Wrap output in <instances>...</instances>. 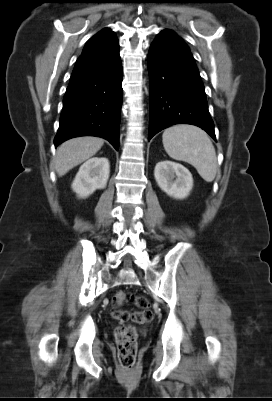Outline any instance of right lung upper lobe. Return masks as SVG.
I'll return each instance as SVG.
<instances>
[{"label": "right lung upper lobe", "mask_w": 272, "mask_h": 401, "mask_svg": "<svg viewBox=\"0 0 272 401\" xmlns=\"http://www.w3.org/2000/svg\"><path fill=\"white\" fill-rule=\"evenodd\" d=\"M117 45L118 40L114 32L108 28L101 30L87 41L82 54L77 59L74 70L103 57Z\"/></svg>", "instance_id": "right-lung-upper-lobe-1"}]
</instances>
